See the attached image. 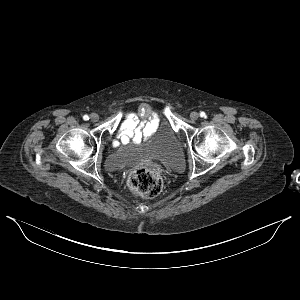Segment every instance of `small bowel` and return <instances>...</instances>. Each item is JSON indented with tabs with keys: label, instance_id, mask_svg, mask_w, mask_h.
Instances as JSON below:
<instances>
[{
	"label": "small bowel",
	"instance_id": "1",
	"mask_svg": "<svg viewBox=\"0 0 300 300\" xmlns=\"http://www.w3.org/2000/svg\"><path fill=\"white\" fill-rule=\"evenodd\" d=\"M154 123V120L139 123L134 115H128L120 125L119 138L122 142L129 139L138 141L152 131Z\"/></svg>",
	"mask_w": 300,
	"mask_h": 300
}]
</instances>
